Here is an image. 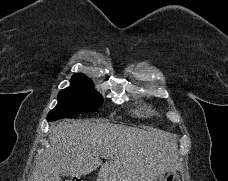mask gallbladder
<instances>
[{"mask_svg": "<svg viewBox=\"0 0 228 181\" xmlns=\"http://www.w3.org/2000/svg\"><path fill=\"white\" fill-rule=\"evenodd\" d=\"M63 177H68L69 173H62Z\"/></svg>", "mask_w": 228, "mask_h": 181, "instance_id": "gallbladder-1", "label": "gallbladder"}]
</instances>
